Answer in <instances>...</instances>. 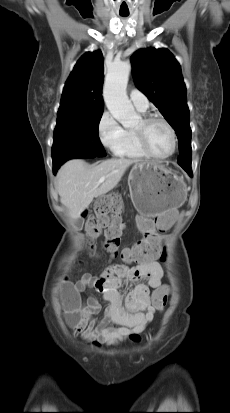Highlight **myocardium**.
<instances>
[{
	"mask_svg": "<svg viewBox=\"0 0 230 413\" xmlns=\"http://www.w3.org/2000/svg\"><path fill=\"white\" fill-rule=\"evenodd\" d=\"M153 121H160L164 123L170 131L171 138H172V148L170 152L167 153L166 155H159V154L154 153L147 144L144 128ZM141 122H142V128L135 129L134 133L136 135L138 143L141 149L143 150V152L151 158L160 159V160H164V159H168L172 157L175 154L176 149H177V134H176V131L173 125L166 118L160 115H157V114H151L149 116H146L142 118Z\"/></svg>",
	"mask_w": 230,
	"mask_h": 413,
	"instance_id": "myocardium-1",
	"label": "myocardium"
}]
</instances>
